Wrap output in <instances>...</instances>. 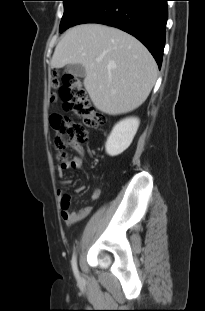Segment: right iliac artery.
<instances>
[{"instance_id":"1","label":"right iliac artery","mask_w":205,"mask_h":311,"mask_svg":"<svg viewBox=\"0 0 205 311\" xmlns=\"http://www.w3.org/2000/svg\"><path fill=\"white\" fill-rule=\"evenodd\" d=\"M71 264H72V269H73V273L75 275V277L79 280V271H78V267H77V260H76V254H73L72 260H71Z\"/></svg>"}]
</instances>
